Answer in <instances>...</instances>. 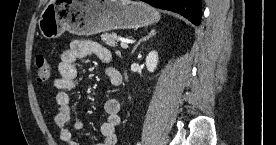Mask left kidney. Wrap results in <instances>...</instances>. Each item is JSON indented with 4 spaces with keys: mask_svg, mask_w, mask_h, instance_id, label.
<instances>
[{
    "mask_svg": "<svg viewBox=\"0 0 276 145\" xmlns=\"http://www.w3.org/2000/svg\"><path fill=\"white\" fill-rule=\"evenodd\" d=\"M158 64L157 51H151L146 57V67L149 72H154Z\"/></svg>",
    "mask_w": 276,
    "mask_h": 145,
    "instance_id": "5707ae66",
    "label": "left kidney"
}]
</instances>
